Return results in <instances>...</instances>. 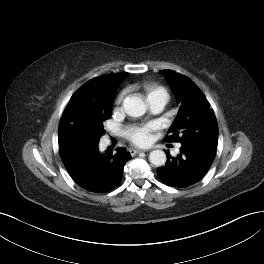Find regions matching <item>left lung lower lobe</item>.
Wrapping results in <instances>:
<instances>
[{
  "mask_svg": "<svg viewBox=\"0 0 264 264\" xmlns=\"http://www.w3.org/2000/svg\"><path fill=\"white\" fill-rule=\"evenodd\" d=\"M216 148L205 143L182 144L180 154H167L165 166L157 169L160 179L167 185L184 188L200 181L210 168Z\"/></svg>",
  "mask_w": 264,
  "mask_h": 264,
  "instance_id": "0a47b994",
  "label": "left lung lower lobe"
}]
</instances>
